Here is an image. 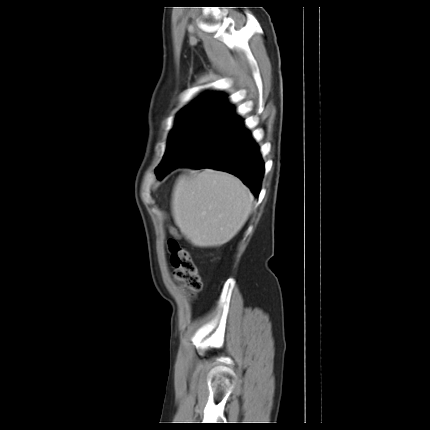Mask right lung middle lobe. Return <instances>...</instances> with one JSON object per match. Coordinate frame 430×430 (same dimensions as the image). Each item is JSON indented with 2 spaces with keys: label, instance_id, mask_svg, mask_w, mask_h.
Listing matches in <instances>:
<instances>
[{
  "label": "right lung middle lobe",
  "instance_id": "dd1d6c3e",
  "mask_svg": "<svg viewBox=\"0 0 430 430\" xmlns=\"http://www.w3.org/2000/svg\"><path fill=\"white\" fill-rule=\"evenodd\" d=\"M232 112L225 106H206L181 112L170 135L167 152L156 168L157 177L161 179L183 165L237 126L240 119Z\"/></svg>",
  "mask_w": 430,
  "mask_h": 430
}]
</instances>
